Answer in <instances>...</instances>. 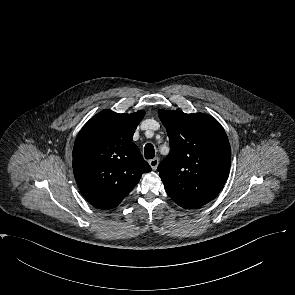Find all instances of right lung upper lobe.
I'll use <instances>...</instances> for the list:
<instances>
[{
    "label": "right lung upper lobe",
    "mask_w": 295,
    "mask_h": 295,
    "mask_svg": "<svg viewBox=\"0 0 295 295\" xmlns=\"http://www.w3.org/2000/svg\"><path fill=\"white\" fill-rule=\"evenodd\" d=\"M144 114L103 110L80 130L73 148V171L81 193L94 207L118 206L141 175L151 171L132 142Z\"/></svg>",
    "instance_id": "1"
}]
</instances>
